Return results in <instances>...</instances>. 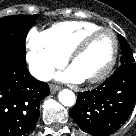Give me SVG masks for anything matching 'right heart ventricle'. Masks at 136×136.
Returning <instances> with one entry per match:
<instances>
[{"label":"right heart ventricle","instance_id":"1","mask_svg":"<svg viewBox=\"0 0 136 136\" xmlns=\"http://www.w3.org/2000/svg\"><path fill=\"white\" fill-rule=\"evenodd\" d=\"M100 28L92 22L66 21L57 23L44 32L48 41L63 55L68 56L84 36Z\"/></svg>","mask_w":136,"mask_h":136}]
</instances>
